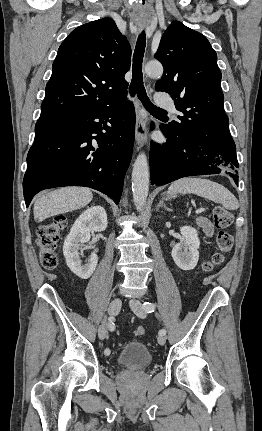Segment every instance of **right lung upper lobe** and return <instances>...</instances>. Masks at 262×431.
Masks as SVG:
<instances>
[{
    "mask_svg": "<svg viewBox=\"0 0 262 431\" xmlns=\"http://www.w3.org/2000/svg\"><path fill=\"white\" fill-rule=\"evenodd\" d=\"M131 47L110 18L73 30L58 49L41 114L97 112L126 96Z\"/></svg>",
    "mask_w": 262,
    "mask_h": 431,
    "instance_id": "cb5924a9",
    "label": "right lung upper lobe"
}]
</instances>
